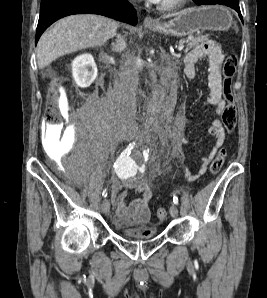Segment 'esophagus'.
<instances>
[{"instance_id": "esophagus-1", "label": "esophagus", "mask_w": 267, "mask_h": 298, "mask_svg": "<svg viewBox=\"0 0 267 298\" xmlns=\"http://www.w3.org/2000/svg\"><path fill=\"white\" fill-rule=\"evenodd\" d=\"M143 23H144L145 26H155V25H157V21L153 17H151L149 15H147L144 18V22Z\"/></svg>"}]
</instances>
